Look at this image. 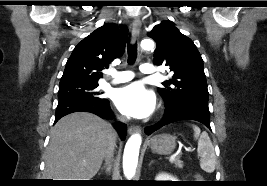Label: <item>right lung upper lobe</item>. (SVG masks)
Masks as SVG:
<instances>
[{
    "label": "right lung upper lobe",
    "mask_w": 267,
    "mask_h": 186,
    "mask_svg": "<svg viewBox=\"0 0 267 186\" xmlns=\"http://www.w3.org/2000/svg\"><path fill=\"white\" fill-rule=\"evenodd\" d=\"M128 39L126 26L105 23L83 39L69 57L60 85L98 83L101 71L119 58Z\"/></svg>",
    "instance_id": "right-lung-upper-lobe-1"
}]
</instances>
